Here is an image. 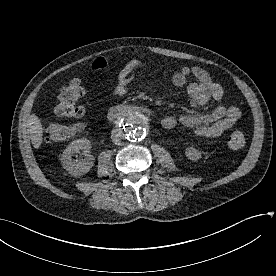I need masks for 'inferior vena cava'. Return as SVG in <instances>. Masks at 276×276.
<instances>
[{"instance_id": "obj_1", "label": "inferior vena cava", "mask_w": 276, "mask_h": 276, "mask_svg": "<svg viewBox=\"0 0 276 276\" xmlns=\"http://www.w3.org/2000/svg\"><path fill=\"white\" fill-rule=\"evenodd\" d=\"M111 139L115 144H120L122 139V134L119 131H112Z\"/></svg>"}]
</instances>
